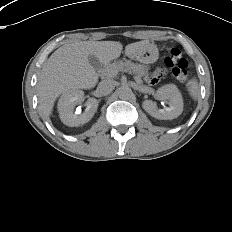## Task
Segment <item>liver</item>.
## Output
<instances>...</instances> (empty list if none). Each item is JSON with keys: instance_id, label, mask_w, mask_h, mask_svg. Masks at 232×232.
<instances>
[{"instance_id": "liver-1", "label": "liver", "mask_w": 232, "mask_h": 232, "mask_svg": "<svg viewBox=\"0 0 232 232\" xmlns=\"http://www.w3.org/2000/svg\"><path fill=\"white\" fill-rule=\"evenodd\" d=\"M147 44V40L128 44L125 55L131 56ZM122 49V44L116 41H77L54 51L43 66L37 83L40 115L49 118L60 94L95 87L98 74L89 63V55H95L101 64H106L118 58Z\"/></svg>"}]
</instances>
